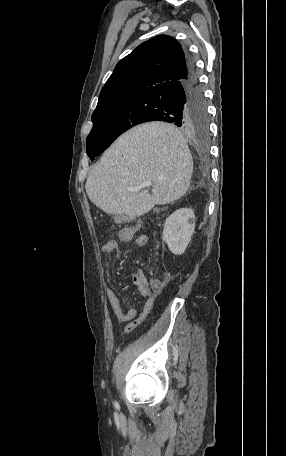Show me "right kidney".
Listing matches in <instances>:
<instances>
[{
	"instance_id": "1",
	"label": "right kidney",
	"mask_w": 286,
	"mask_h": 456,
	"mask_svg": "<svg viewBox=\"0 0 286 456\" xmlns=\"http://www.w3.org/2000/svg\"><path fill=\"white\" fill-rule=\"evenodd\" d=\"M195 229L194 211L181 208L171 214L165 221L163 240L173 254H183Z\"/></svg>"
}]
</instances>
